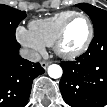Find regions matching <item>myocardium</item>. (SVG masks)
<instances>
[{
  "label": "myocardium",
  "instance_id": "obj_1",
  "mask_svg": "<svg viewBox=\"0 0 107 107\" xmlns=\"http://www.w3.org/2000/svg\"><path fill=\"white\" fill-rule=\"evenodd\" d=\"M76 18H83L87 22L88 35L86 37L85 42L83 43V45L80 48L73 50V51H66L63 49L66 32H67V29H68L70 23ZM93 36H94V28H93V24H92L90 18L83 13H75L72 16H70L62 25V27L54 41L53 49L59 57H61L63 59H67V60H72V59H75V58L81 56L82 54H84L86 52V50L89 48V46L93 40Z\"/></svg>",
  "mask_w": 107,
  "mask_h": 107
}]
</instances>
